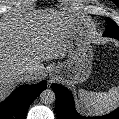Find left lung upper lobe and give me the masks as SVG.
<instances>
[{
  "instance_id": "5c2ea615",
  "label": "left lung upper lobe",
  "mask_w": 119,
  "mask_h": 119,
  "mask_svg": "<svg viewBox=\"0 0 119 119\" xmlns=\"http://www.w3.org/2000/svg\"><path fill=\"white\" fill-rule=\"evenodd\" d=\"M107 24L108 26L105 31V34L119 35V27L113 20L107 18Z\"/></svg>"
}]
</instances>
